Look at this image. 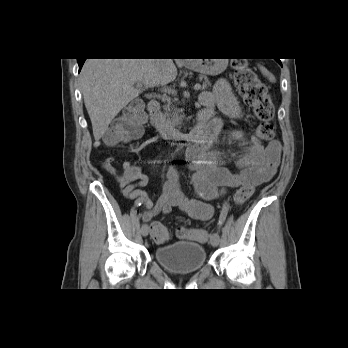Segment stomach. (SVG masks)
<instances>
[{"mask_svg": "<svg viewBox=\"0 0 348 348\" xmlns=\"http://www.w3.org/2000/svg\"><path fill=\"white\" fill-rule=\"evenodd\" d=\"M228 65V59H195L188 67L204 76H216Z\"/></svg>", "mask_w": 348, "mask_h": 348, "instance_id": "stomach-1", "label": "stomach"}]
</instances>
